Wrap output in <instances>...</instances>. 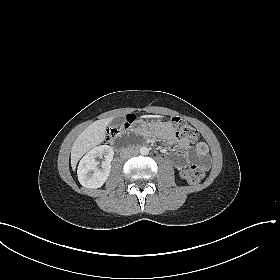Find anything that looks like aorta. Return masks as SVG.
I'll list each match as a JSON object with an SVG mask.
<instances>
[{
	"label": "aorta",
	"mask_w": 280,
	"mask_h": 280,
	"mask_svg": "<svg viewBox=\"0 0 280 280\" xmlns=\"http://www.w3.org/2000/svg\"><path fill=\"white\" fill-rule=\"evenodd\" d=\"M141 155H148L149 154V149L145 146L141 147L139 150Z\"/></svg>",
	"instance_id": "obj_1"
}]
</instances>
